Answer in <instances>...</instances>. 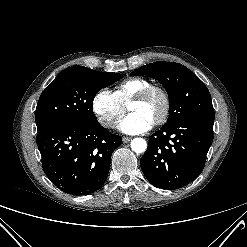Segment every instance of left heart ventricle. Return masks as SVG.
Returning a JSON list of instances; mask_svg holds the SVG:
<instances>
[{
  "instance_id": "1",
  "label": "left heart ventricle",
  "mask_w": 247,
  "mask_h": 247,
  "mask_svg": "<svg viewBox=\"0 0 247 247\" xmlns=\"http://www.w3.org/2000/svg\"><path fill=\"white\" fill-rule=\"evenodd\" d=\"M131 112H138L155 122L163 110V100L158 94L152 95L143 102H132L129 104Z\"/></svg>"
}]
</instances>
